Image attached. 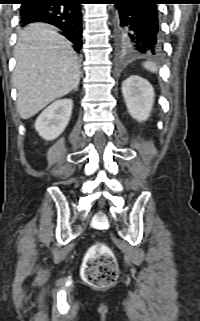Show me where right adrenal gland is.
Instances as JSON below:
<instances>
[{
	"instance_id": "obj_1",
	"label": "right adrenal gland",
	"mask_w": 200,
	"mask_h": 321,
	"mask_svg": "<svg viewBox=\"0 0 200 321\" xmlns=\"http://www.w3.org/2000/svg\"><path fill=\"white\" fill-rule=\"evenodd\" d=\"M74 90H75V91H78V87H76Z\"/></svg>"
}]
</instances>
